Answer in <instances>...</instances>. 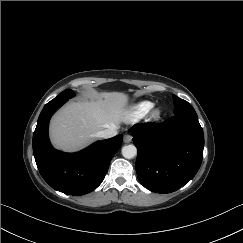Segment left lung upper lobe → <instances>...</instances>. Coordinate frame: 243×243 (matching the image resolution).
I'll return each instance as SVG.
<instances>
[{"label":"left lung upper lobe","mask_w":243,"mask_h":243,"mask_svg":"<svg viewBox=\"0 0 243 243\" xmlns=\"http://www.w3.org/2000/svg\"><path fill=\"white\" fill-rule=\"evenodd\" d=\"M173 99L175 106L174 115L198 118L194 108L187 101L180 99L176 95H173Z\"/></svg>","instance_id":"1"}]
</instances>
